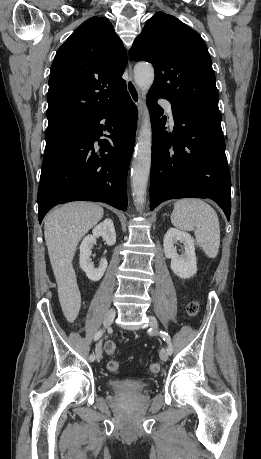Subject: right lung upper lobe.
<instances>
[{
	"instance_id": "cb5924a9",
	"label": "right lung upper lobe",
	"mask_w": 261,
	"mask_h": 459,
	"mask_svg": "<svg viewBox=\"0 0 261 459\" xmlns=\"http://www.w3.org/2000/svg\"><path fill=\"white\" fill-rule=\"evenodd\" d=\"M127 54L111 23L92 17L59 48L51 66L48 126L87 122L126 91Z\"/></svg>"
}]
</instances>
